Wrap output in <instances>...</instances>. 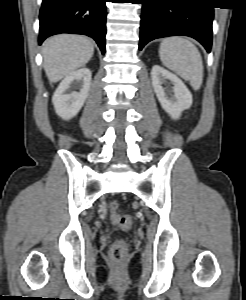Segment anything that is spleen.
<instances>
[{
  "label": "spleen",
  "mask_w": 246,
  "mask_h": 300,
  "mask_svg": "<svg viewBox=\"0 0 246 300\" xmlns=\"http://www.w3.org/2000/svg\"><path fill=\"white\" fill-rule=\"evenodd\" d=\"M159 56L165 67L190 82L198 90L203 81V62L197 47L183 37H168L162 40Z\"/></svg>",
  "instance_id": "3e777b00"
}]
</instances>
